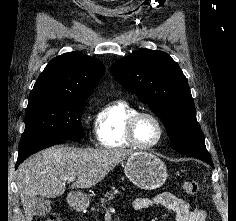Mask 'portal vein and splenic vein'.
I'll list each match as a JSON object with an SVG mask.
<instances>
[{"label": "portal vein and splenic vein", "instance_id": "18ae733b", "mask_svg": "<svg viewBox=\"0 0 236 221\" xmlns=\"http://www.w3.org/2000/svg\"><path fill=\"white\" fill-rule=\"evenodd\" d=\"M67 180H68L69 182H72V181L75 180V178H74V177H69V178H67Z\"/></svg>", "mask_w": 236, "mask_h": 221}]
</instances>
